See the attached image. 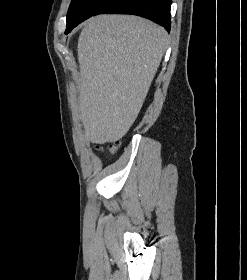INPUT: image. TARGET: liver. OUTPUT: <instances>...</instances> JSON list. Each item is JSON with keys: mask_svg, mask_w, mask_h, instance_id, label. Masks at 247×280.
I'll list each match as a JSON object with an SVG mask.
<instances>
[{"mask_svg": "<svg viewBox=\"0 0 247 280\" xmlns=\"http://www.w3.org/2000/svg\"><path fill=\"white\" fill-rule=\"evenodd\" d=\"M168 44L163 27L133 15L87 20L78 39L80 116L96 143L122 138L137 118Z\"/></svg>", "mask_w": 247, "mask_h": 280, "instance_id": "liver-1", "label": "liver"}]
</instances>
